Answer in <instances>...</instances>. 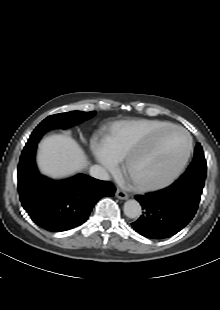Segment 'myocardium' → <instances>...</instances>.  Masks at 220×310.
<instances>
[{
	"label": "myocardium",
	"instance_id": "f54148a6",
	"mask_svg": "<svg viewBox=\"0 0 220 310\" xmlns=\"http://www.w3.org/2000/svg\"><path fill=\"white\" fill-rule=\"evenodd\" d=\"M167 130L180 131V132L184 133L188 139L187 150H186V153H185L184 158L182 159L181 163L178 165V167L168 177H166L165 179H163L159 182H156V183H150V182L132 179L131 175H130V167H131L133 161L143 152L149 151L150 150V143H153L162 133H164ZM147 145H149L148 149L145 148ZM192 150H193V139H192L191 135L189 134V132L181 126L171 124V125H168L166 127H163L162 129L158 130L157 132L152 134L147 140H145L141 145H139L136 148H134L133 150H131L123 160L122 170H123L125 175H127L128 177H130L132 179V182L137 189L143 190V191L160 190V189H163V188L169 186L170 184H172L181 175V173L185 169V167H186V165L190 159Z\"/></svg>",
	"mask_w": 220,
	"mask_h": 310
}]
</instances>
